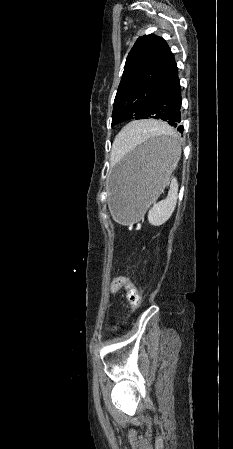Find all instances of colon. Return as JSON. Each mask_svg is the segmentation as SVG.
<instances>
[{"label": "colon", "instance_id": "obj_1", "mask_svg": "<svg viewBox=\"0 0 233 449\" xmlns=\"http://www.w3.org/2000/svg\"><path fill=\"white\" fill-rule=\"evenodd\" d=\"M122 288H124L127 293L129 311H136L140 305V294L131 278L128 276L113 277L108 286L109 293L111 295H117Z\"/></svg>", "mask_w": 233, "mask_h": 449}]
</instances>
